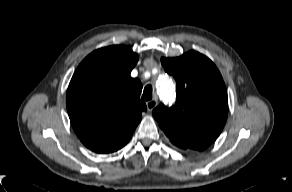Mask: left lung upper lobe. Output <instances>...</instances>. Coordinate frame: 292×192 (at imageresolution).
Returning <instances> with one entry per match:
<instances>
[{
    "label": "left lung upper lobe",
    "mask_w": 292,
    "mask_h": 192,
    "mask_svg": "<svg viewBox=\"0 0 292 192\" xmlns=\"http://www.w3.org/2000/svg\"><path fill=\"white\" fill-rule=\"evenodd\" d=\"M161 62L176 80L177 101L169 109L159 105L153 116L174 145L202 151L217 139L227 120L222 76L209 58L195 51Z\"/></svg>",
    "instance_id": "1"
}]
</instances>
